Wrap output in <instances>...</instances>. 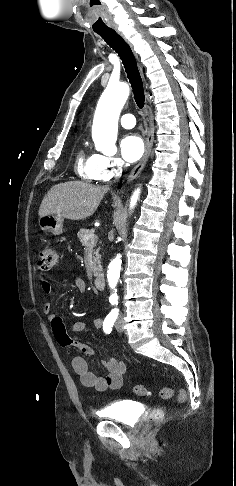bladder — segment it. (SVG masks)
<instances>
[{
    "label": "bladder",
    "mask_w": 236,
    "mask_h": 486,
    "mask_svg": "<svg viewBox=\"0 0 236 486\" xmlns=\"http://www.w3.org/2000/svg\"><path fill=\"white\" fill-rule=\"evenodd\" d=\"M139 413L138 403L120 401L107 405L99 412V416L112 419L124 424H132Z\"/></svg>",
    "instance_id": "31cf9c89"
}]
</instances>
